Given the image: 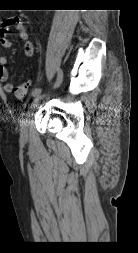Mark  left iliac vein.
Segmentation results:
<instances>
[{
	"label": "left iliac vein",
	"instance_id": "obj_1",
	"mask_svg": "<svg viewBox=\"0 0 138 253\" xmlns=\"http://www.w3.org/2000/svg\"><path fill=\"white\" fill-rule=\"evenodd\" d=\"M44 98V95H38L34 98L31 106L29 108V112L27 114V119L24 121L20 128V139L22 141H27L29 136V126H30V117L33 115V112L38 108L40 102Z\"/></svg>",
	"mask_w": 138,
	"mask_h": 253
}]
</instances>
